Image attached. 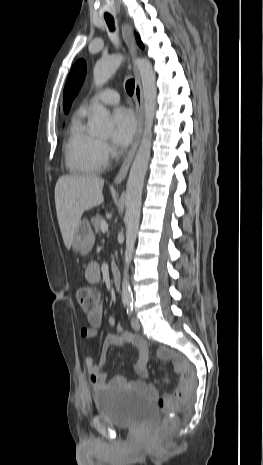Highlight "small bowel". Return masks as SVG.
Instances as JSON below:
<instances>
[{
  "label": "small bowel",
  "instance_id": "obj_1",
  "mask_svg": "<svg viewBox=\"0 0 263 465\" xmlns=\"http://www.w3.org/2000/svg\"><path fill=\"white\" fill-rule=\"evenodd\" d=\"M86 280L91 284H97L101 279L100 267L96 262H90L85 270ZM87 321L89 326L84 327L80 331V335L84 340H92L97 334V329L102 325L103 308L101 305L90 313H87ZM132 343L137 351L138 360L135 365V371L139 376H146V365L148 360L149 346L148 343L141 337L135 334L109 335L105 338L102 348L100 362L97 363L92 355H87L85 363L88 369V374L92 385L95 388H103L106 385L114 387L136 386L149 392L157 397L156 389L140 381H129L121 376H115L109 382L107 380V372L105 370L106 357L108 350L113 346H118L124 343ZM167 355V354H166ZM183 376H186L185 374ZM171 398L172 396H168ZM160 399V398H159Z\"/></svg>",
  "mask_w": 263,
  "mask_h": 465
}]
</instances>
